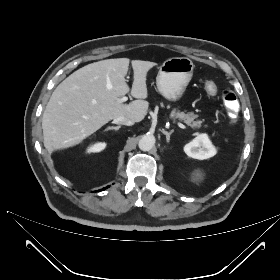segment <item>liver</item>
Here are the masks:
<instances>
[{
    "instance_id": "obj_1",
    "label": "liver",
    "mask_w": 280,
    "mask_h": 280,
    "mask_svg": "<svg viewBox=\"0 0 280 280\" xmlns=\"http://www.w3.org/2000/svg\"><path fill=\"white\" fill-rule=\"evenodd\" d=\"M128 58L88 64L68 76L52 93L43 113L44 145L49 152L79 144L110 120L123 116L141 122L149 103L146 76L154 62L133 60L134 80L129 104L117 100L130 91L125 76Z\"/></svg>"
}]
</instances>
